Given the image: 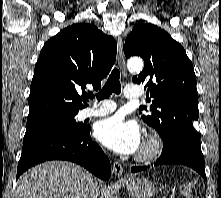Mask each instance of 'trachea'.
<instances>
[{
	"label": "trachea",
	"instance_id": "obj_1",
	"mask_svg": "<svg viewBox=\"0 0 221 198\" xmlns=\"http://www.w3.org/2000/svg\"><path fill=\"white\" fill-rule=\"evenodd\" d=\"M120 94L121 93V84H120V71L117 68H114L109 75V78L102 88L97 94L96 97L98 101L108 98L112 93ZM89 98H94L95 95L88 94Z\"/></svg>",
	"mask_w": 221,
	"mask_h": 198
}]
</instances>
